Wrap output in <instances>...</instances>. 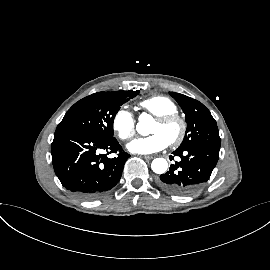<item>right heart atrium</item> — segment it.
I'll list each match as a JSON object with an SVG mask.
<instances>
[{"instance_id": "d8ad5b80", "label": "right heart atrium", "mask_w": 270, "mask_h": 270, "mask_svg": "<svg viewBox=\"0 0 270 270\" xmlns=\"http://www.w3.org/2000/svg\"><path fill=\"white\" fill-rule=\"evenodd\" d=\"M111 125L113 131L121 140H127L135 133V118L126 107H121L114 113Z\"/></svg>"}]
</instances>
